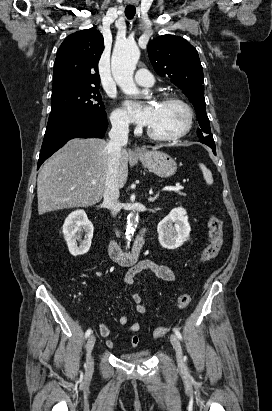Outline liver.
<instances>
[{"label": "liver", "instance_id": "6515ba94", "mask_svg": "<svg viewBox=\"0 0 272 411\" xmlns=\"http://www.w3.org/2000/svg\"><path fill=\"white\" fill-rule=\"evenodd\" d=\"M108 143L99 138H75L44 163L37 178L39 215L93 206L101 201L109 158ZM128 160L129 153L123 149L118 172L120 188L128 178Z\"/></svg>", "mask_w": 272, "mask_h": 411}]
</instances>
